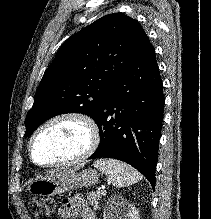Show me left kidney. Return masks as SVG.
<instances>
[{
  "label": "left kidney",
  "instance_id": "obj_1",
  "mask_svg": "<svg viewBox=\"0 0 211 219\" xmlns=\"http://www.w3.org/2000/svg\"><path fill=\"white\" fill-rule=\"evenodd\" d=\"M113 204L114 206L111 204V207L104 211V219H140L139 213L134 205L117 198L113 200ZM118 205L121 208H118Z\"/></svg>",
  "mask_w": 211,
  "mask_h": 219
}]
</instances>
